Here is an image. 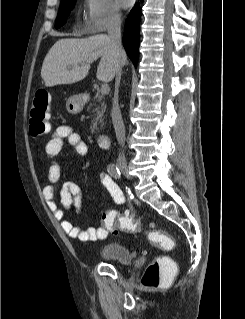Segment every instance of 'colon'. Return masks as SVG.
<instances>
[{
  "label": "colon",
  "mask_w": 245,
  "mask_h": 319,
  "mask_svg": "<svg viewBox=\"0 0 245 319\" xmlns=\"http://www.w3.org/2000/svg\"><path fill=\"white\" fill-rule=\"evenodd\" d=\"M50 109V96L45 90L38 91L30 109V133L34 138H39L47 133ZM102 222L111 232H135L140 227V222L129 214L121 215L114 210L103 213ZM149 239L164 250H172L175 240L154 224H149ZM176 266L170 263L166 256H158L147 267L142 277V285L147 289L164 286L173 275Z\"/></svg>",
  "instance_id": "colon-1"
}]
</instances>
